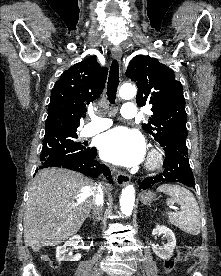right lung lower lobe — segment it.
Returning <instances> with one entry per match:
<instances>
[{"label": "right lung lower lobe", "instance_id": "obj_1", "mask_svg": "<svg viewBox=\"0 0 221 276\" xmlns=\"http://www.w3.org/2000/svg\"><path fill=\"white\" fill-rule=\"evenodd\" d=\"M96 154V148H91L90 152L87 155L68 156L59 159L46 160L42 163V166L40 168L63 167L81 172L84 175L91 176L93 178H96L100 173H103L105 176H108L107 179H110L109 182H112V179L110 177V170L108 169V167L94 160Z\"/></svg>", "mask_w": 221, "mask_h": 276}]
</instances>
